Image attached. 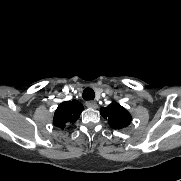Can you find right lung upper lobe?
<instances>
[{"mask_svg": "<svg viewBox=\"0 0 181 181\" xmlns=\"http://www.w3.org/2000/svg\"><path fill=\"white\" fill-rule=\"evenodd\" d=\"M83 110V105L77 100L62 102L54 113L53 125L64 129L69 124L75 123Z\"/></svg>", "mask_w": 181, "mask_h": 181, "instance_id": "right-lung-upper-lobe-1", "label": "right lung upper lobe"}]
</instances>
